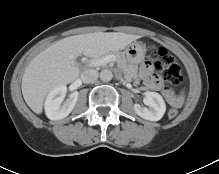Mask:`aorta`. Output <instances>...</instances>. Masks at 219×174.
Returning <instances> with one entry per match:
<instances>
[{"mask_svg":"<svg viewBox=\"0 0 219 174\" xmlns=\"http://www.w3.org/2000/svg\"><path fill=\"white\" fill-rule=\"evenodd\" d=\"M112 78H113V73L111 70L104 69L100 72V79L103 82H109L112 80Z\"/></svg>","mask_w":219,"mask_h":174,"instance_id":"762f6f07","label":"aorta"}]
</instances>
